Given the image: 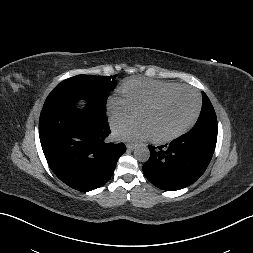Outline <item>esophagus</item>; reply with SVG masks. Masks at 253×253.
I'll return each mask as SVG.
<instances>
[{"instance_id":"obj_1","label":"esophagus","mask_w":253,"mask_h":253,"mask_svg":"<svg viewBox=\"0 0 253 253\" xmlns=\"http://www.w3.org/2000/svg\"><path fill=\"white\" fill-rule=\"evenodd\" d=\"M135 144H132V143H128L127 145H126V147H127V149L128 150H133L134 148H135Z\"/></svg>"}]
</instances>
